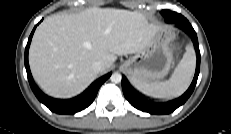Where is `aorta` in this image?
<instances>
[{
    "label": "aorta",
    "instance_id": "762f6f07",
    "mask_svg": "<svg viewBox=\"0 0 231 134\" xmlns=\"http://www.w3.org/2000/svg\"><path fill=\"white\" fill-rule=\"evenodd\" d=\"M110 80L113 82V83H120L121 80H122V76L120 73H113L110 77Z\"/></svg>",
    "mask_w": 231,
    "mask_h": 134
}]
</instances>
